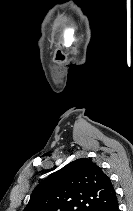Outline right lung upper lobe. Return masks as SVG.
Wrapping results in <instances>:
<instances>
[{
  "label": "right lung upper lobe",
  "instance_id": "1",
  "mask_svg": "<svg viewBox=\"0 0 133 211\" xmlns=\"http://www.w3.org/2000/svg\"><path fill=\"white\" fill-rule=\"evenodd\" d=\"M115 204L110 178L90 159L80 158L37 185L24 211H109Z\"/></svg>",
  "mask_w": 133,
  "mask_h": 211
}]
</instances>
